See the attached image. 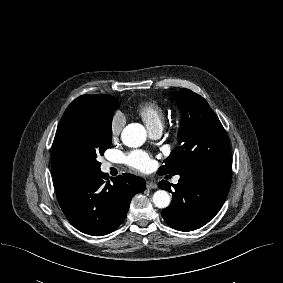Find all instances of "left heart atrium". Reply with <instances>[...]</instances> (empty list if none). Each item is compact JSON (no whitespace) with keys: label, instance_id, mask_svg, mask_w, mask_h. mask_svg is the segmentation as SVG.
Segmentation results:
<instances>
[{"label":"left heart atrium","instance_id":"1","mask_svg":"<svg viewBox=\"0 0 283 283\" xmlns=\"http://www.w3.org/2000/svg\"><path fill=\"white\" fill-rule=\"evenodd\" d=\"M125 161L128 166L141 172L150 170L154 165L152 157L147 152L141 150L129 153L125 157Z\"/></svg>","mask_w":283,"mask_h":283}]
</instances>
